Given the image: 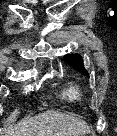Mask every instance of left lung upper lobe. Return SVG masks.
<instances>
[{"instance_id": "obj_1", "label": "left lung upper lobe", "mask_w": 117, "mask_h": 136, "mask_svg": "<svg viewBox=\"0 0 117 136\" xmlns=\"http://www.w3.org/2000/svg\"><path fill=\"white\" fill-rule=\"evenodd\" d=\"M67 63H69L74 69L81 72L83 75L88 76V72L84 69L83 61L80 55H66L65 58Z\"/></svg>"}]
</instances>
